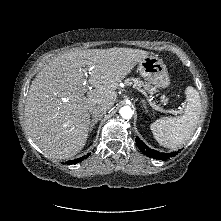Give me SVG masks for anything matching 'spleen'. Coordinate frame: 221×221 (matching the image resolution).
Masks as SVG:
<instances>
[{"label": "spleen", "instance_id": "1", "mask_svg": "<svg viewBox=\"0 0 221 221\" xmlns=\"http://www.w3.org/2000/svg\"><path fill=\"white\" fill-rule=\"evenodd\" d=\"M186 104L183 115L162 117L150 125L156 141L171 149L184 145L195 132L201 114V100L198 91L188 86L185 90Z\"/></svg>", "mask_w": 221, "mask_h": 221}]
</instances>
